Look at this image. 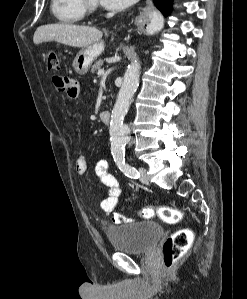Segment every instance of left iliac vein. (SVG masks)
<instances>
[{
    "label": "left iliac vein",
    "mask_w": 247,
    "mask_h": 299,
    "mask_svg": "<svg viewBox=\"0 0 247 299\" xmlns=\"http://www.w3.org/2000/svg\"><path fill=\"white\" fill-rule=\"evenodd\" d=\"M139 173H140V181L146 185L149 184V177L147 174V170L144 167H140L139 169Z\"/></svg>",
    "instance_id": "1"
}]
</instances>
